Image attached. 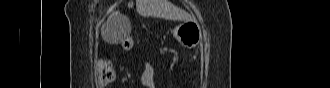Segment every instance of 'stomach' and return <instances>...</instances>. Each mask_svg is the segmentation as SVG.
I'll list each match as a JSON object with an SVG mask.
<instances>
[{
    "instance_id": "obj_1",
    "label": "stomach",
    "mask_w": 330,
    "mask_h": 88,
    "mask_svg": "<svg viewBox=\"0 0 330 88\" xmlns=\"http://www.w3.org/2000/svg\"><path fill=\"white\" fill-rule=\"evenodd\" d=\"M177 41L187 48L196 47L202 40V32L199 24L195 21H185L174 29Z\"/></svg>"
}]
</instances>
